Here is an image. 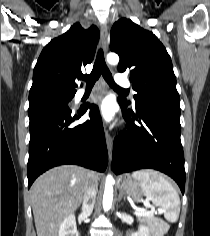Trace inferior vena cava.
I'll return each mask as SVG.
<instances>
[{"instance_id": "602c4592", "label": "inferior vena cava", "mask_w": 210, "mask_h": 236, "mask_svg": "<svg viewBox=\"0 0 210 236\" xmlns=\"http://www.w3.org/2000/svg\"><path fill=\"white\" fill-rule=\"evenodd\" d=\"M97 194V182H94L90 175V183L83 197L82 212L90 215L93 211Z\"/></svg>"}]
</instances>
